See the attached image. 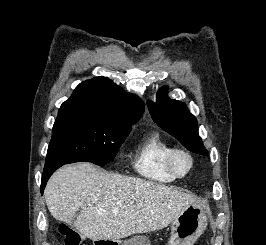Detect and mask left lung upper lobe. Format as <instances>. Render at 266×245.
Returning a JSON list of instances; mask_svg holds the SVG:
<instances>
[{
  "label": "left lung upper lobe",
  "instance_id": "1",
  "mask_svg": "<svg viewBox=\"0 0 266 245\" xmlns=\"http://www.w3.org/2000/svg\"><path fill=\"white\" fill-rule=\"evenodd\" d=\"M166 93L164 87L159 91L156 103L147 102L153 120L190 151L206 155L207 151L198 135L195 117L189 113L184 103L169 99Z\"/></svg>",
  "mask_w": 266,
  "mask_h": 245
}]
</instances>
